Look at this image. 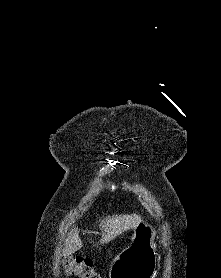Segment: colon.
Returning a JSON list of instances; mask_svg holds the SVG:
<instances>
[{
  "label": "colon",
  "mask_w": 221,
  "mask_h": 278,
  "mask_svg": "<svg viewBox=\"0 0 221 278\" xmlns=\"http://www.w3.org/2000/svg\"><path fill=\"white\" fill-rule=\"evenodd\" d=\"M64 268L67 274L76 278H102L89 258L68 257L64 260Z\"/></svg>",
  "instance_id": "colon-1"
}]
</instances>
